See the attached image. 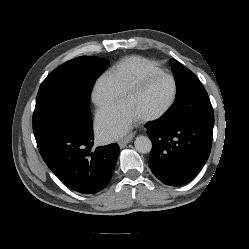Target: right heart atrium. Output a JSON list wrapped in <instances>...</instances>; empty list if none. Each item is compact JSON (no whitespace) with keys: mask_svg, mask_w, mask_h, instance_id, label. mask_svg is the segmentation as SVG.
<instances>
[{"mask_svg":"<svg viewBox=\"0 0 249 249\" xmlns=\"http://www.w3.org/2000/svg\"><path fill=\"white\" fill-rule=\"evenodd\" d=\"M124 91L118 86L110 73L101 75L95 82L92 91V100L99 107L108 106L119 101Z\"/></svg>","mask_w":249,"mask_h":249,"instance_id":"d8ad5b80","label":"right heart atrium"}]
</instances>
